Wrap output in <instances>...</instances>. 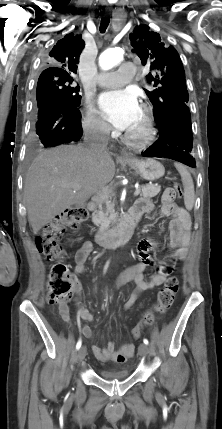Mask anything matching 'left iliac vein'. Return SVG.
<instances>
[{
    "label": "left iliac vein",
    "instance_id": "left-iliac-vein-1",
    "mask_svg": "<svg viewBox=\"0 0 222 429\" xmlns=\"http://www.w3.org/2000/svg\"><path fill=\"white\" fill-rule=\"evenodd\" d=\"M138 352L141 356H146L149 353V347L146 344H140Z\"/></svg>",
    "mask_w": 222,
    "mask_h": 429
}]
</instances>
